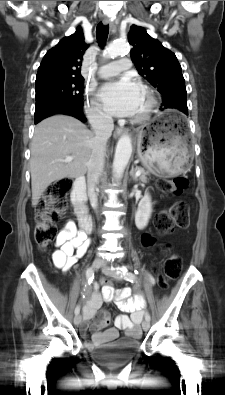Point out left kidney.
I'll return each mask as SVG.
<instances>
[{
	"label": "left kidney",
	"instance_id": "obj_1",
	"mask_svg": "<svg viewBox=\"0 0 225 395\" xmlns=\"http://www.w3.org/2000/svg\"><path fill=\"white\" fill-rule=\"evenodd\" d=\"M152 213V204L149 194H145L138 204L135 213V224L138 229H144L150 219Z\"/></svg>",
	"mask_w": 225,
	"mask_h": 395
}]
</instances>
